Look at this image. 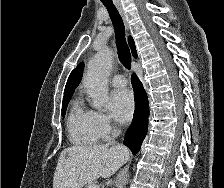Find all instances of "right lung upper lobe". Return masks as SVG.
<instances>
[{
	"label": "right lung upper lobe",
	"instance_id": "1",
	"mask_svg": "<svg viewBox=\"0 0 224 188\" xmlns=\"http://www.w3.org/2000/svg\"><path fill=\"white\" fill-rule=\"evenodd\" d=\"M128 41H129V45L132 48L133 55L135 57H137L136 48H135V44H134L132 37H129ZM83 68H84V63L81 62L71 72V74L67 80L66 86H65L63 102L66 100H69L71 98V96L74 92V89L79 85L81 78H82V74H83Z\"/></svg>",
	"mask_w": 224,
	"mask_h": 188
}]
</instances>
